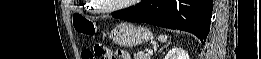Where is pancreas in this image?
Returning a JSON list of instances; mask_svg holds the SVG:
<instances>
[{
  "label": "pancreas",
  "instance_id": "obj_1",
  "mask_svg": "<svg viewBox=\"0 0 261 59\" xmlns=\"http://www.w3.org/2000/svg\"><path fill=\"white\" fill-rule=\"evenodd\" d=\"M133 59H150V56L144 52H137L133 55Z\"/></svg>",
  "mask_w": 261,
  "mask_h": 59
}]
</instances>
